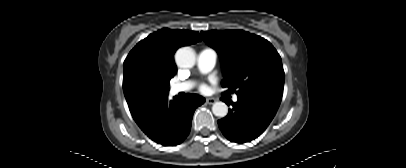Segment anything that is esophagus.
Masks as SVG:
<instances>
[{
    "label": "esophagus",
    "mask_w": 406,
    "mask_h": 168,
    "mask_svg": "<svg viewBox=\"0 0 406 168\" xmlns=\"http://www.w3.org/2000/svg\"><path fill=\"white\" fill-rule=\"evenodd\" d=\"M215 101H216V100H215L214 98H207V99H206V103H207V104H214Z\"/></svg>",
    "instance_id": "34e87169"
}]
</instances>
